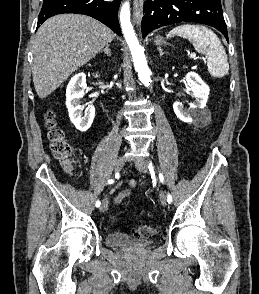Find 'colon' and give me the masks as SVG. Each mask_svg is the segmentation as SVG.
I'll use <instances>...</instances> for the list:
<instances>
[{
    "label": "colon",
    "instance_id": "1",
    "mask_svg": "<svg viewBox=\"0 0 259 294\" xmlns=\"http://www.w3.org/2000/svg\"><path fill=\"white\" fill-rule=\"evenodd\" d=\"M48 128V137L50 140L51 150L56 158L62 161L67 171L71 170L69 157L72 152L70 143L66 140L63 131L57 127L55 114L48 111L45 115ZM156 233V227L150 224H140L133 234L140 238H150Z\"/></svg>",
    "mask_w": 259,
    "mask_h": 294
}]
</instances>
